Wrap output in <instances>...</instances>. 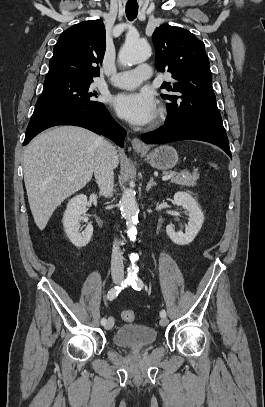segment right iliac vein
Masks as SVG:
<instances>
[{
    "label": "right iliac vein",
    "mask_w": 265,
    "mask_h": 407,
    "mask_svg": "<svg viewBox=\"0 0 265 407\" xmlns=\"http://www.w3.org/2000/svg\"><path fill=\"white\" fill-rule=\"evenodd\" d=\"M113 281H114L115 284H119L121 282V279L120 278H114ZM113 325H114V320H113L112 317H109L106 324H105V329L110 330V329H112Z\"/></svg>",
    "instance_id": "1"
}]
</instances>
